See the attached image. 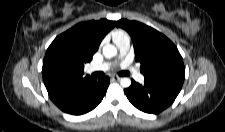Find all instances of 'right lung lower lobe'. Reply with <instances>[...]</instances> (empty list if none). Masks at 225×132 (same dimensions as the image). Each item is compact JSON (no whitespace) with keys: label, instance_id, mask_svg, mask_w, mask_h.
<instances>
[{"label":"right lung lower lobe","instance_id":"1","mask_svg":"<svg viewBox=\"0 0 225 132\" xmlns=\"http://www.w3.org/2000/svg\"><path fill=\"white\" fill-rule=\"evenodd\" d=\"M109 86V77L91 78L57 99H51L62 111L82 115L99 105Z\"/></svg>","mask_w":225,"mask_h":132}]
</instances>
